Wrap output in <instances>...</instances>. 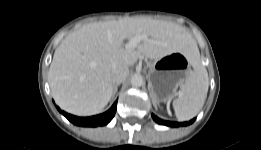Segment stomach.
Here are the masks:
<instances>
[{
    "label": "stomach",
    "mask_w": 261,
    "mask_h": 150,
    "mask_svg": "<svg viewBox=\"0 0 261 150\" xmlns=\"http://www.w3.org/2000/svg\"><path fill=\"white\" fill-rule=\"evenodd\" d=\"M190 64V59L182 52L154 60L148 73V88L152 99L165 101L173 95L190 74Z\"/></svg>",
    "instance_id": "obj_1"
}]
</instances>
